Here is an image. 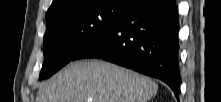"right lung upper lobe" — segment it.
I'll return each mask as SVG.
<instances>
[{"mask_svg": "<svg viewBox=\"0 0 221 102\" xmlns=\"http://www.w3.org/2000/svg\"><path fill=\"white\" fill-rule=\"evenodd\" d=\"M84 0H53L52 5L47 11L46 19L50 18L51 16L61 12L67 8L72 7L73 5L80 3ZM133 4L138 2L139 0H130Z\"/></svg>", "mask_w": 221, "mask_h": 102, "instance_id": "cb5924a9", "label": "right lung upper lobe"}]
</instances>
